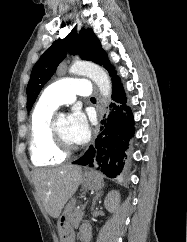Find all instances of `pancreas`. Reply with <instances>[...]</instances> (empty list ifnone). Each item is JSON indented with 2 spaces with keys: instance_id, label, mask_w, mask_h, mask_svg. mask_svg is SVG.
<instances>
[{
  "instance_id": "1",
  "label": "pancreas",
  "mask_w": 187,
  "mask_h": 242,
  "mask_svg": "<svg viewBox=\"0 0 187 242\" xmlns=\"http://www.w3.org/2000/svg\"><path fill=\"white\" fill-rule=\"evenodd\" d=\"M82 215H83L82 210H79V209L74 210V220H73L74 226H77L79 224V222L82 219Z\"/></svg>"
}]
</instances>
